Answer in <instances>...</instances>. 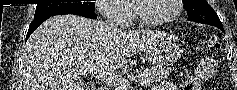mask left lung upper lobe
Segmentation results:
<instances>
[{
	"label": "left lung upper lobe",
	"instance_id": "1",
	"mask_svg": "<svg viewBox=\"0 0 237 90\" xmlns=\"http://www.w3.org/2000/svg\"><path fill=\"white\" fill-rule=\"evenodd\" d=\"M183 3L188 14L187 20L223 27L218 15L206 0H183Z\"/></svg>",
	"mask_w": 237,
	"mask_h": 90
}]
</instances>
